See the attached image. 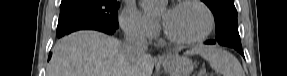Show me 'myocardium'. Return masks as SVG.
<instances>
[{
	"mask_svg": "<svg viewBox=\"0 0 287 76\" xmlns=\"http://www.w3.org/2000/svg\"><path fill=\"white\" fill-rule=\"evenodd\" d=\"M184 5H196L204 11V13L206 14V17H207V25H206L204 31L200 35H198L194 38L180 39V38L173 36L168 31V29L166 28V26L164 24L163 25L164 35L168 41H170L171 43H174L176 45L190 46V45H195V44L201 43L211 34V32L214 29V26H215L214 14L211 11V9L203 1H200V0L179 1L175 5V7H180V6H184Z\"/></svg>",
	"mask_w": 287,
	"mask_h": 76,
	"instance_id": "f54148a6",
	"label": "myocardium"
}]
</instances>
